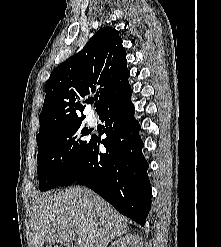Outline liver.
<instances>
[{
  "instance_id": "1",
  "label": "liver",
  "mask_w": 221,
  "mask_h": 247,
  "mask_svg": "<svg viewBox=\"0 0 221 247\" xmlns=\"http://www.w3.org/2000/svg\"><path fill=\"white\" fill-rule=\"evenodd\" d=\"M32 247L45 243L107 247L129 230L127 219L93 191L72 187L40 196L30 218Z\"/></svg>"
}]
</instances>
